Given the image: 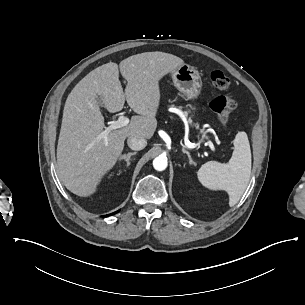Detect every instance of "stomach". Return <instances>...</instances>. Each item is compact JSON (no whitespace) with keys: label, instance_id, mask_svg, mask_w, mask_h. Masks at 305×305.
Here are the masks:
<instances>
[{"label":"stomach","instance_id":"obj_1","mask_svg":"<svg viewBox=\"0 0 305 305\" xmlns=\"http://www.w3.org/2000/svg\"><path fill=\"white\" fill-rule=\"evenodd\" d=\"M175 87L189 100L194 101L192 109L198 111L196 104L202 89V80L199 72L189 65H183L172 74Z\"/></svg>","mask_w":305,"mask_h":305}]
</instances>
